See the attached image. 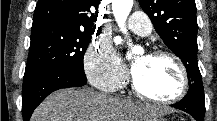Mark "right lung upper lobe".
<instances>
[{
	"label": "right lung upper lobe",
	"mask_w": 217,
	"mask_h": 121,
	"mask_svg": "<svg viewBox=\"0 0 217 121\" xmlns=\"http://www.w3.org/2000/svg\"><path fill=\"white\" fill-rule=\"evenodd\" d=\"M101 5L102 0H39L32 26L51 22L95 29Z\"/></svg>",
	"instance_id": "obj_1"
}]
</instances>
